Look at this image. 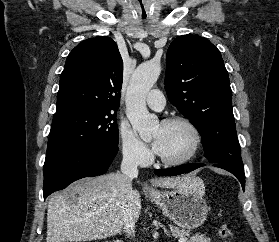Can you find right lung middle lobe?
I'll list each match as a JSON object with an SVG mask.
<instances>
[{"label":"right lung middle lobe","mask_w":279,"mask_h":242,"mask_svg":"<svg viewBox=\"0 0 279 242\" xmlns=\"http://www.w3.org/2000/svg\"><path fill=\"white\" fill-rule=\"evenodd\" d=\"M118 148L116 114L112 111L77 109L55 114L45 162L83 150Z\"/></svg>","instance_id":"right-lung-middle-lobe-1"}]
</instances>
